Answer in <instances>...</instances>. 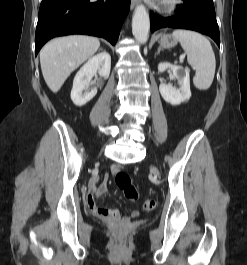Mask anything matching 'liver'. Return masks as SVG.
<instances>
[{"mask_svg": "<svg viewBox=\"0 0 247 265\" xmlns=\"http://www.w3.org/2000/svg\"><path fill=\"white\" fill-rule=\"evenodd\" d=\"M97 38L72 35L48 42L40 51L44 80L54 93L58 92L69 75L99 49Z\"/></svg>", "mask_w": 247, "mask_h": 265, "instance_id": "obj_1", "label": "liver"}]
</instances>
